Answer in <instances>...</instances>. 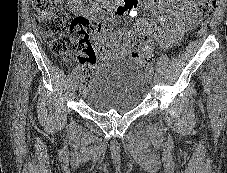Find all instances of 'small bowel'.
I'll list each match as a JSON object with an SVG mask.
<instances>
[{
	"mask_svg": "<svg viewBox=\"0 0 227 173\" xmlns=\"http://www.w3.org/2000/svg\"><path fill=\"white\" fill-rule=\"evenodd\" d=\"M139 6L153 11L160 22L157 27L149 18L140 17L136 26L122 28L117 32H107L93 38L94 50L102 57H125L132 54L133 42L157 37L165 48H170L180 42L182 36L193 29L200 21V15L195 8V0H131L120 15L136 12ZM84 68L91 67L96 57L91 60L78 58Z\"/></svg>",
	"mask_w": 227,
	"mask_h": 173,
	"instance_id": "1",
	"label": "small bowel"
}]
</instances>
